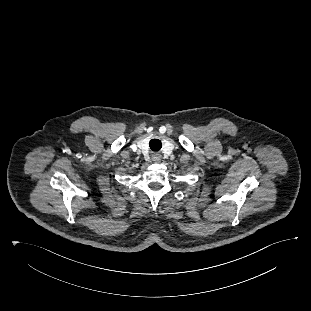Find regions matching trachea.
<instances>
[{
	"mask_svg": "<svg viewBox=\"0 0 311 311\" xmlns=\"http://www.w3.org/2000/svg\"><path fill=\"white\" fill-rule=\"evenodd\" d=\"M149 146L153 151H158L161 149L162 143L159 139H152L149 143Z\"/></svg>",
	"mask_w": 311,
	"mask_h": 311,
	"instance_id": "1",
	"label": "trachea"
}]
</instances>
